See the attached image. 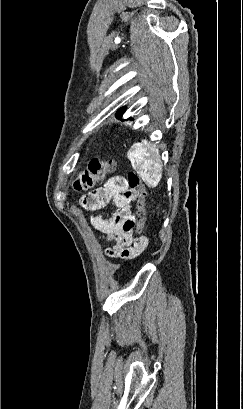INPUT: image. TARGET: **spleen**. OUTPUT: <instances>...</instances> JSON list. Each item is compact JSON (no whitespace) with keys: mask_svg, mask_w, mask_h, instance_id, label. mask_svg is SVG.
<instances>
[{"mask_svg":"<svg viewBox=\"0 0 243 409\" xmlns=\"http://www.w3.org/2000/svg\"><path fill=\"white\" fill-rule=\"evenodd\" d=\"M132 167L148 187L154 188L162 177V165L159 161V150L147 140L135 143L127 153Z\"/></svg>","mask_w":243,"mask_h":409,"instance_id":"obj_1","label":"spleen"}]
</instances>
